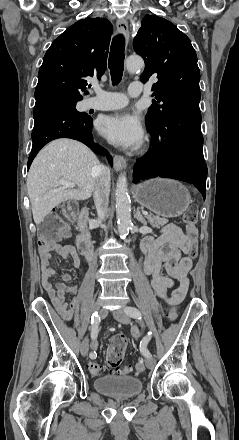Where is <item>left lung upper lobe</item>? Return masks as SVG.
Returning <instances> with one entry per match:
<instances>
[{"instance_id": "5c2ea615", "label": "left lung upper lobe", "mask_w": 239, "mask_h": 440, "mask_svg": "<svg viewBox=\"0 0 239 440\" xmlns=\"http://www.w3.org/2000/svg\"><path fill=\"white\" fill-rule=\"evenodd\" d=\"M143 57L145 69L140 80L148 81L157 74L153 85V101L146 116L148 128L158 126L162 118L181 107L199 108L200 71L196 52L189 38L168 20L147 15L133 42ZM159 102L162 104L158 105Z\"/></svg>"}]
</instances>
